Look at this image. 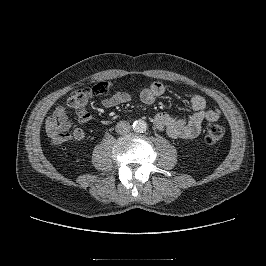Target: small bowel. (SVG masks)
Here are the masks:
<instances>
[{"instance_id": "obj_1", "label": "small bowel", "mask_w": 266, "mask_h": 266, "mask_svg": "<svg viewBox=\"0 0 266 266\" xmlns=\"http://www.w3.org/2000/svg\"><path fill=\"white\" fill-rule=\"evenodd\" d=\"M165 86L158 81L153 82L140 93L142 103L152 104L165 93ZM89 97L71 95L64 105L57 106L45 122V131L50 141L55 145L64 143H79L87 139V134L80 128L70 131L71 123L69 110L75 113L79 123L85 124L92 120L88 109ZM130 100L127 92H117L101 100L103 107H115ZM189 105L193 111L191 115L178 117L167 113H158L154 119L155 128L166 133L175 140H188L197 137L201 131L203 121H216L220 117L218 109H207L205 99L199 94H192Z\"/></svg>"}]
</instances>
